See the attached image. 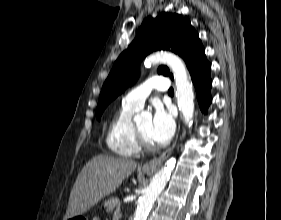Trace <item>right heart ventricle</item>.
<instances>
[{
    "label": "right heart ventricle",
    "instance_id": "right-heart-ventricle-1",
    "mask_svg": "<svg viewBox=\"0 0 281 220\" xmlns=\"http://www.w3.org/2000/svg\"><path fill=\"white\" fill-rule=\"evenodd\" d=\"M135 112L137 109L122 102L109 124L106 136L107 146L113 153L122 157H133L141 151L134 135L132 117Z\"/></svg>",
    "mask_w": 281,
    "mask_h": 220
}]
</instances>
